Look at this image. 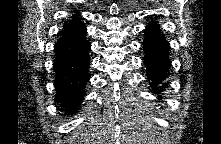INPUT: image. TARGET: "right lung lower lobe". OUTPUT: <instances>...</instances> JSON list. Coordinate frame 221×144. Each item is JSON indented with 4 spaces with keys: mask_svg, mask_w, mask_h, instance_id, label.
<instances>
[{
    "mask_svg": "<svg viewBox=\"0 0 221 144\" xmlns=\"http://www.w3.org/2000/svg\"><path fill=\"white\" fill-rule=\"evenodd\" d=\"M89 50L90 43L86 40L83 23L61 34L55 44V101L66 114L75 113L85 95V87L90 79Z\"/></svg>",
    "mask_w": 221,
    "mask_h": 144,
    "instance_id": "right-lung-lower-lobe-1",
    "label": "right lung lower lobe"
}]
</instances>
